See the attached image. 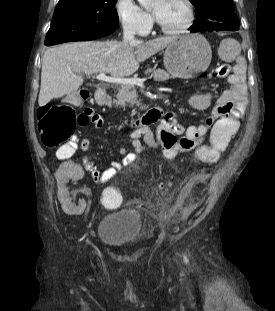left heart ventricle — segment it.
Instances as JSON below:
<instances>
[{
	"label": "left heart ventricle",
	"mask_w": 275,
	"mask_h": 311,
	"mask_svg": "<svg viewBox=\"0 0 275 311\" xmlns=\"http://www.w3.org/2000/svg\"><path fill=\"white\" fill-rule=\"evenodd\" d=\"M151 12L167 28H178L188 18L187 7L182 0H155Z\"/></svg>",
	"instance_id": "b2bd125f"
}]
</instances>
